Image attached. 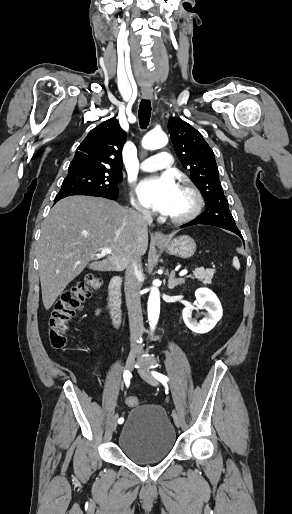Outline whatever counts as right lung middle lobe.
<instances>
[{
	"instance_id": "dd1d6c3e",
	"label": "right lung middle lobe",
	"mask_w": 292,
	"mask_h": 514,
	"mask_svg": "<svg viewBox=\"0 0 292 514\" xmlns=\"http://www.w3.org/2000/svg\"><path fill=\"white\" fill-rule=\"evenodd\" d=\"M122 179V173L72 172L64 179L58 195L76 192L118 194L117 185Z\"/></svg>"
}]
</instances>
